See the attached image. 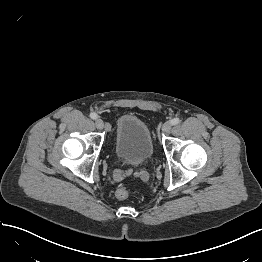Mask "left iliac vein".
<instances>
[{
  "label": "left iliac vein",
  "mask_w": 262,
  "mask_h": 262,
  "mask_svg": "<svg viewBox=\"0 0 262 262\" xmlns=\"http://www.w3.org/2000/svg\"><path fill=\"white\" fill-rule=\"evenodd\" d=\"M172 125L170 122H166L162 127L163 133H169L171 131Z\"/></svg>",
  "instance_id": "1"
}]
</instances>
